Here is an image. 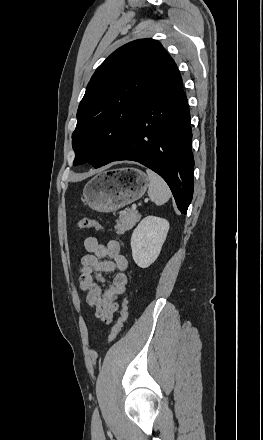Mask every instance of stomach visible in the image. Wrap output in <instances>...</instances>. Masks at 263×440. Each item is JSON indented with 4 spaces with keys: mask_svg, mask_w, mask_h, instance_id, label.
Listing matches in <instances>:
<instances>
[{
    "mask_svg": "<svg viewBox=\"0 0 263 440\" xmlns=\"http://www.w3.org/2000/svg\"><path fill=\"white\" fill-rule=\"evenodd\" d=\"M149 186L147 175L138 169H113L93 177L83 197L93 210L109 213L141 198Z\"/></svg>",
    "mask_w": 263,
    "mask_h": 440,
    "instance_id": "obj_1",
    "label": "stomach"
}]
</instances>
